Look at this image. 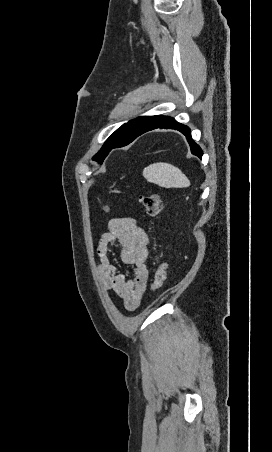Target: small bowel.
<instances>
[{
	"instance_id": "1",
	"label": "small bowel",
	"mask_w": 272,
	"mask_h": 452,
	"mask_svg": "<svg viewBox=\"0 0 272 452\" xmlns=\"http://www.w3.org/2000/svg\"><path fill=\"white\" fill-rule=\"evenodd\" d=\"M114 243L121 247L122 262L133 267V276L130 280H126L124 274L111 262L110 248ZM97 256L98 278L102 287L121 299L128 311L136 309L146 293L149 273L147 267L149 239L145 231L134 218L111 219L108 231L99 239Z\"/></svg>"
}]
</instances>
